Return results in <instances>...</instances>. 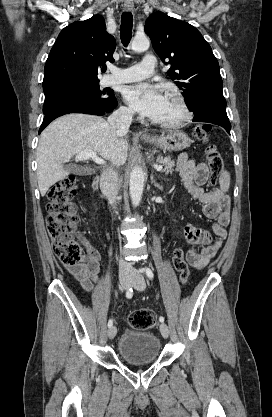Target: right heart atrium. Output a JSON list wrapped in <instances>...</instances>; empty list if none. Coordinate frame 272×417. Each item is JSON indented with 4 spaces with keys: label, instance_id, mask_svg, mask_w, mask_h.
<instances>
[{
    "label": "right heart atrium",
    "instance_id": "obj_1",
    "mask_svg": "<svg viewBox=\"0 0 272 417\" xmlns=\"http://www.w3.org/2000/svg\"><path fill=\"white\" fill-rule=\"evenodd\" d=\"M119 114L124 118H130L133 115V111L129 106L123 105L119 109Z\"/></svg>",
    "mask_w": 272,
    "mask_h": 417
}]
</instances>
